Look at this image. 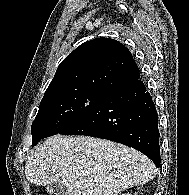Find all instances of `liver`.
Returning <instances> with one entry per match:
<instances>
[{
    "label": "liver",
    "instance_id": "1",
    "mask_svg": "<svg viewBox=\"0 0 189 195\" xmlns=\"http://www.w3.org/2000/svg\"><path fill=\"white\" fill-rule=\"evenodd\" d=\"M25 175L39 186L62 183L66 195H118L153 180L156 167L147 156L120 143L56 135L30 153Z\"/></svg>",
    "mask_w": 189,
    "mask_h": 195
}]
</instances>
